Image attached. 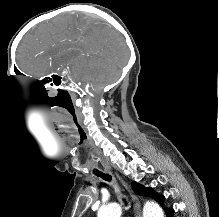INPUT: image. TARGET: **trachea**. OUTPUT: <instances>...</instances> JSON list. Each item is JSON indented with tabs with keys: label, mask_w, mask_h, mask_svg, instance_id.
<instances>
[{
	"label": "trachea",
	"mask_w": 219,
	"mask_h": 217,
	"mask_svg": "<svg viewBox=\"0 0 219 217\" xmlns=\"http://www.w3.org/2000/svg\"><path fill=\"white\" fill-rule=\"evenodd\" d=\"M95 174L106 181H111V177L108 174H104L102 172H95Z\"/></svg>",
	"instance_id": "3493384b"
}]
</instances>
